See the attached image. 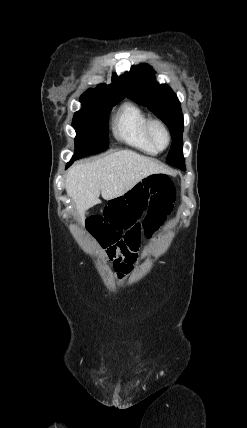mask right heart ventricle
Wrapping results in <instances>:
<instances>
[{"label": "right heart ventricle", "instance_id": "obj_1", "mask_svg": "<svg viewBox=\"0 0 247 428\" xmlns=\"http://www.w3.org/2000/svg\"><path fill=\"white\" fill-rule=\"evenodd\" d=\"M148 120V116L139 106L126 103L114 119L116 138L144 153L157 154L158 150L150 143L146 134Z\"/></svg>", "mask_w": 247, "mask_h": 428}]
</instances>
